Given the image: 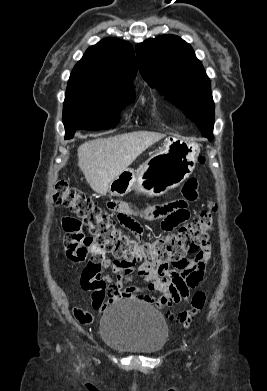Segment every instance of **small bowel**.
Listing matches in <instances>:
<instances>
[{"instance_id": "obj_1", "label": "small bowel", "mask_w": 267, "mask_h": 391, "mask_svg": "<svg viewBox=\"0 0 267 391\" xmlns=\"http://www.w3.org/2000/svg\"><path fill=\"white\" fill-rule=\"evenodd\" d=\"M197 197V182L190 179L182 188L181 198L152 207L145 211L144 216L149 219H161L162 232L171 234L177 227L187 224L190 220L189 203L197 200ZM108 209L117 214L121 226L129 229L136 238H141L143 229L132 218V209L128 204L111 201L108 203ZM61 224L65 231L63 244L67 258L73 262H82L89 256L81 276V286L91 292V307L94 311H100L107 303L123 297L139 299L162 308L186 301L190 291L203 281L206 263L211 254L209 244L194 257L185 258L179 265H165L157 271H150L143 266H125L99 252L83 253L80 241L86 235L80 221L72 217H63ZM107 270L116 275V280L107 275ZM133 274L141 276L148 290L158 292L159 296L144 293L143 289L134 285L126 286L125 283L131 280ZM74 316L80 323H89L93 319L90 311L82 309H75Z\"/></svg>"}]
</instances>
